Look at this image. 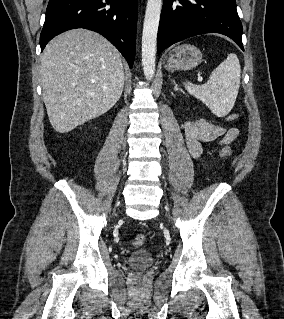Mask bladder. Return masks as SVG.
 <instances>
[{"mask_svg":"<svg viewBox=\"0 0 284 319\" xmlns=\"http://www.w3.org/2000/svg\"><path fill=\"white\" fill-rule=\"evenodd\" d=\"M127 262L132 268L144 270L153 265L154 256L150 251L137 250L128 257Z\"/></svg>","mask_w":284,"mask_h":319,"instance_id":"31cf9c89","label":"bladder"}]
</instances>
